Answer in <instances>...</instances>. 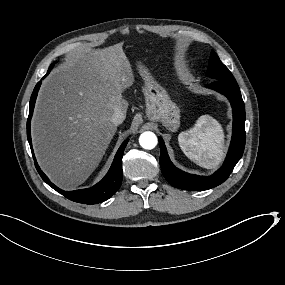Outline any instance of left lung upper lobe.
Wrapping results in <instances>:
<instances>
[{
	"label": "left lung upper lobe",
	"instance_id": "1",
	"mask_svg": "<svg viewBox=\"0 0 285 285\" xmlns=\"http://www.w3.org/2000/svg\"><path fill=\"white\" fill-rule=\"evenodd\" d=\"M206 74L208 77L212 78L213 80L228 81V82L236 81L231 72L220 61L219 57L213 50L211 51L209 66Z\"/></svg>",
	"mask_w": 285,
	"mask_h": 285
}]
</instances>
